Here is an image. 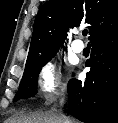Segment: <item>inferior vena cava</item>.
<instances>
[{
	"label": "inferior vena cava",
	"instance_id": "1",
	"mask_svg": "<svg viewBox=\"0 0 118 123\" xmlns=\"http://www.w3.org/2000/svg\"><path fill=\"white\" fill-rule=\"evenodd\" d=\"M65 90H63L64 92ZM64 95L62 94V97L60 99V105L62 106L64 104ZM62 119H63V123H70V121L68 120V118H66L62 113H60Z\"/></svg>",
	"mask_w": 118,
	"mask_h": 123
}]
</instances>
